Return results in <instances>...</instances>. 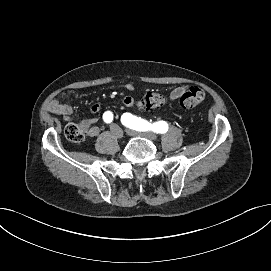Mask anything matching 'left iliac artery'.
Returning a JSON list of instances; mask_svg holds the SVG:
<instances>
[{
	"label": "left iliac artery",
	"mask_w": 271,
	"mask_h": 271,
	"mask_svg": "<svg viewBox=\"0 0 271 271\" xmlns=\"http://www.w3.org/2000/svg\"><path fill=\"white\" fill-rule=\"evenodd\" d=\"M121 122L126 127L140 132L153 131L163 134L168 130V124L165 121H158L151 124L148 121L141 119L140 117L138 118L133 116L130 113H124L121 116Z\"/></svg>",
	"instance_id": "44dca946"
}]
</instances>
